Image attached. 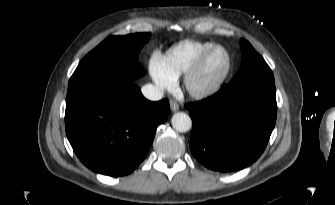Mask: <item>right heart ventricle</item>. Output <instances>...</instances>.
Segmentation results:
<instances>
[{
    "instance_id": "e07e8e85",
    "label": "right heart ventricle",
    "mask_w": 335,
    "mask_h": 205,
    "mask_svg": "<svg viewBox=\"0 0 335 205\" xmlns=\"http://www.w3.org/2000/svg\"><path fill=\"white\" fill-rule=\"evenodd\" d=\"M215 44L210 41L184 40L173 45L164 56L168 72L175 78L186 74L197 58Z\"/></svg>"
}]
</instances>
